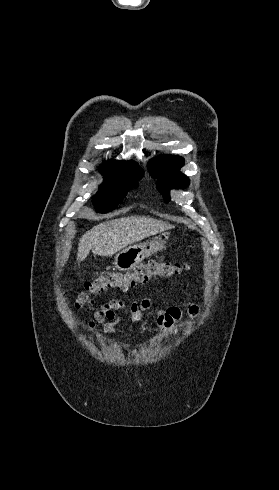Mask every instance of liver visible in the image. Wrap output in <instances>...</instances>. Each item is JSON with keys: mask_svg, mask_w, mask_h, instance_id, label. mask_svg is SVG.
Masks as SVG:
<instances>
[{"mask_svg": "<svg viewBox=\"0 0 279 490\" xmlns=\"http://www.w3.org/2000/svg\"><path fill=\"white\" fill-rule=\"evenodd\" d=\"M174 226L145 216H128L103 222L88 230L78 244L77 262H83L90 252L94 256H113L129 244L172 230Z\"/></svg>", "mask_w": 279, "mask_h": 490, "instance_id": "1", "label": "liver"}]
</instances>
